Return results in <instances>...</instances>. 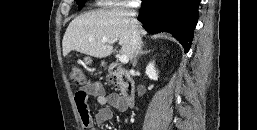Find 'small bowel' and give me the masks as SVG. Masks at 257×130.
Instances as JSON below:
<instances>
[{"label":"small bowel","instance_id":"obj_1","mask_svg":"<svg viewBox=\"0 0 257 130\" xmlns=\"http://www.w3.org/2000/svg\"><path fill=\"white\" fill-rule=\"evenodd\" d=\"M95 97L97 102L102 106L98 112L91 116L88 106L90 97ZM77 111L85 130H95V126H101L112 117L111 108L125 111L121 94H107L103 85L99 82H88L78 89L74 95Z\"/></svg>","mask_w":257,"mask_h":130}]
</instances>
